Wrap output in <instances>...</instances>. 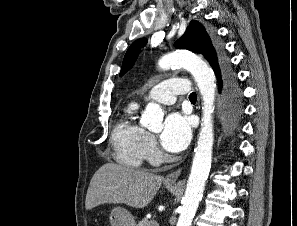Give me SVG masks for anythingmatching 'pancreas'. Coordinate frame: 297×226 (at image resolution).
<instances>
[{
    "mask_svg": "<svg viewBox=\"0 0 297 226\" xmlns=\"http://www.w3.org/2000/svg\"><path fill=\"white\" fill-rule=\"evenodd\" d=\"M136 226H159L155 220H148L146 218L138 222Z\"/></svg>",
    "mask_w": 297,
    "mask_h": 226,
    "instance_id": "pancreas-1",
    "label": "pancreas"
}]
</instances>
